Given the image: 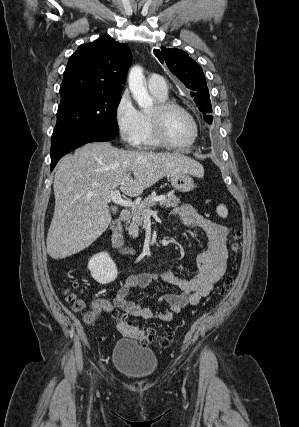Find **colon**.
Here are the masks:
<instances>
[{"label": "colon", "mask_w": 299, "mask_h": 427, "mask_svg": "<svg viewBox=\"0 0 299 427\" xmlns=\"http://www.w3.org/2000/svg\"><path fill=\"white\" fill-rule=\"evenodd\" d=\"M238 234H233V240H232V250H237V240ZM232 278H227L223 286L221 288V295L225 296L229 293L232 287ZM67 293V300L71 304L73 310L75 311H85L87 308L86 302L81 297V285L79 282H73L71 283L70 287L66 291ZM96 311H87L86 312V320L88 323H92L96 319ZM116 328L117 330L131 338H134L138 340L141 344H147L152 341H154V336L150 333H146L139 329L138 327L132 325L131 322L127 321L123 317H117L116 320ZM171 337L170 336H164L158 339L157 343L160 347L166 348L171 343Z\"/></svg>", "instance_id": "obj_1"}]
</instances>
